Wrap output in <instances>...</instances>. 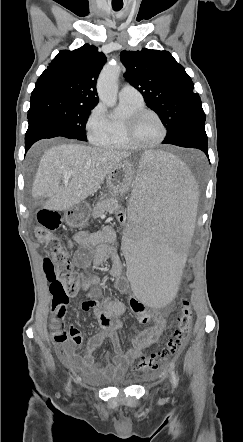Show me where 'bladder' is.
I'll return each mask as SVG.
<instances>
[{"instance_id": "31cf9c89", "label": "bladder", "mask_w": 243, "mask_h": 442, "mask_svg": "<svg viewBox=\"0 0 243 442\" xmlns=\"http://www.w3.org/2000/svg\"><path fill=\"white\" fill-rule=\"evenodd\" d=\"M133 379L130 377H119L111 380L107 387H127L133 384Z\"/></svg>"}]
</instances>
